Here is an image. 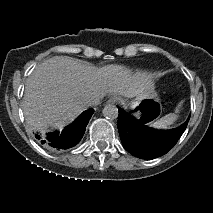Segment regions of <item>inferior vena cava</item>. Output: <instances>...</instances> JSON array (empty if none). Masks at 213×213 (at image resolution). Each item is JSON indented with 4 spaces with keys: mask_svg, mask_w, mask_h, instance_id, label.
<instances>
[{
    "mask_svg": "<svg viewBox=\"0 0 213 213\" xmlns=\"http://www.w3.org/2000/svg\"><path fill=\"white\" fill-rule=\"evenodd\" d=\"M103 98V96H93L91 97L88 101H87V104L88 106H96L100 103V100Z\"/></svg>",
    "mask_w": 213,
    "mask_h": 213,
    "instance_id": "1",
    "label": "inferior vena cava"
}]
</instances>
